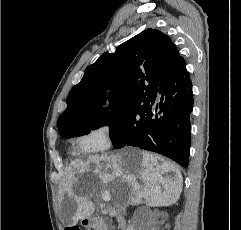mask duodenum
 <instances>
[{"mask_svg": "<svg viewBox=\"0 0 241 230\" xmlns=\"http://www.w3.org/2000/svg\"><path fill=\"white\" fill-rule=\"evenodd\" d=\"M82 224L90 228H102L104 222L96 217H86L82 220Z\"/></svg>", "mask_w": 241, "mask_h": 230, "instance_id": "duodenum-1", "label": "duodenum"}]
</instances>
